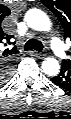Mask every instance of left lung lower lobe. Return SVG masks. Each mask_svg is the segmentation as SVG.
<instances>
[{"label":"left lung lower lobe","instance_id":"left-lung-lower-lobe-1","mask_svg":"<svg viewBox=\"0 0 71 119\" xmlns=\"http://www.w3.org/2000/svg\"><path fill=\"white\" fill-rule=\"evenodd\" d=\"M51 81L61 88L69 90L71 88V66L63 63L60 74Z\"/></svg>","mask_w":71,"mask_h":119}]
</instances>
